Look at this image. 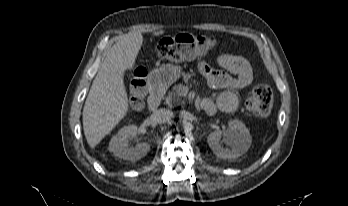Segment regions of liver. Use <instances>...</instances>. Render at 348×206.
Masks as SVG:
<instances>
[{
    "label": "liver",
    "mask_w": 348,
    "mask_h": 206,
    "mask_svg": "<svg viewBox=\"0 0 348 206\" xmlns=\"http://www.w3.org/2000/svg\"><path fill=\"white\" fill-rule=\"evenodd\" d=\"M163 33L160 30L154 35ZM142 43L141 33L130 32L119 36L105 54L83 108L84 134L92 149L115 128L129 110L123 77L127 69L133 68Z\"/></svg>",
    "instance_id": "obj_1"
}]
</instances>
